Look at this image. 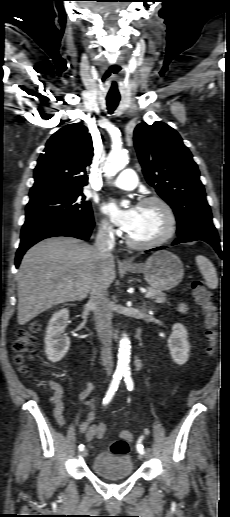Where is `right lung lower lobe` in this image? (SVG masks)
Instances as JSON below:
<instances>
[{"label":"right lung lower lobe","instance_id":"right-lung-lower-lobe-1","mask_svg":"<svg viewBox=\"0 0 230 517\" xmlns=\"http://www.w3.org/2000/svg\"><path fill=\"white\" fill-rule=\"evenodd\" d=\"M94 224L93 217L42 216L26 220L21 230V242L16 253V267L19 266L26 250L37 242L55 236H68L87 240L91 235Z\"/></svg>","mask_w":230,"mask_h":517}]
</instances>
